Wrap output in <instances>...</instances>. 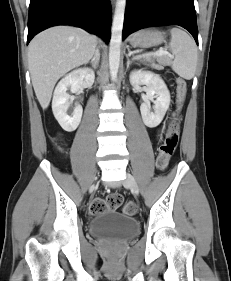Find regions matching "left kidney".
<instances>
[{"instance_id": "5707ae66", "label": "left kidney", "mask_w": 231, "mask_h": 281, "mask_svg": "<svg viewBox=\"0 0 231 281\" xmlns=\"http://www.w3.org/2000/svg\"><path fill=\"white\" fill-rule=\"evenodd\" d=\"M130 83L133 86L146 85V97L140 106L141 116L147 127H157L170 104V93L163 79L150 71L134 70L130 73ZM151 101L154 103L153 111Z\"/></svg>"}]
</instances>
